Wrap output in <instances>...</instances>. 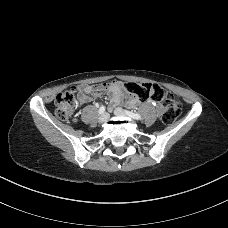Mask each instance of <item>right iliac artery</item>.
Returning <instances> with one entry per match:
<instances>
[{
    "instance_id": "82829eb1",
    "label": "right iliac artery",
    "mask_w": 228,
    "mask_h": 228,
    "mask_svg": "<svg viewBox=\"0 0 228 228\" xmlns=\"http://www.w3.org/2000/svg\"><path fill=\"white\" fill-rule=\"evenodd\" d=\"M105 106H101L100 108H99V114H103L104 112H105Z\"/></svg>"
}]
</instances>
